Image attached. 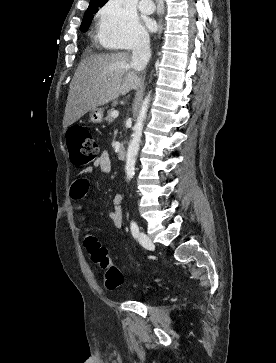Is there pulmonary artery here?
<instances>
[{
    "instance_id": "1",
    "label": "pulmonary artery",
    "mask_w": 276,
    "mask_h": 363,
    "mask_svg": "<svg viewBox=\"0 0 276 363\" xmlns=\"http://www.w3.org/2000/svg\"><path fill=\"white\" fill-rule=\"evenodd\" d=\"M139 9L145 14L153 13L155 6L152 0H141L139 2Z\"/></svg>"
}]
</instances>
